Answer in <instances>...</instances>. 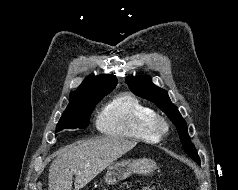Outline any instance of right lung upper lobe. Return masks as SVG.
Instances as JSON below:
<instances>
[{
    "mask_svg": "<svg viewBox=\"0 0 238 190\" xmlns=\"http://www.w3.org/2000/svg\"><path fill=\"white\" fill-rule=\"evenodd\" d=\"M116 77L113 75L88 76L76 91L70 93L69 105L74 106L82 98L97 94L110 93L116 86Z\"/></svg>",
    "mask_w": 238,
    "mask_h": 190,
    "instance_id": "cb5924a9",
    "label": "right lung upper lobe"
}]
</instances>
